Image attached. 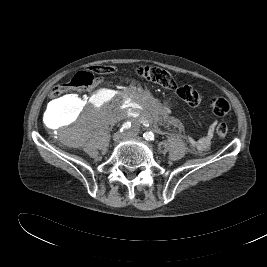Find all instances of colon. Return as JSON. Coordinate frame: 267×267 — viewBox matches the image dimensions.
<instances>
[{"label":"colon","instance_id":"5ec220e1","mask_svg":"<svg viewBox=\"0 0 267 267\" xmlns=\"http://www.w3.org/2000/svg\"><path fill=\"white\" fill-rule=\"evenodd\" d=\"M114 71L111 65H99L91 68V71H80L76 73L68 83L57 85L51 92V99L63 98L71 89H86L94 85V74H109ZM137 75L150 83L163 88L176 89L178 96L190 107L199 106L202 95L190 85L177 86L173 76L167 70L157 66H142L137 68ZM70 99H73L72 97ZM212 111L218 116H225L230 111V104L224 97H213L209 100ZM228 132L227 125L220 123L216 127V135L223 139Z\"/></svg>","mask_w":267,"mask_h":267}]
</instances>
